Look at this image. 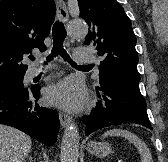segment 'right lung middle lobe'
Listing matches in <instances>:
<instances>
[{
    "label": "right lung middle lobe",
    "instance_id": "obj_1",
    "mask_svg": "<svg viewBox=\"0 0 168 162\" xmlns=\"http://www.w3.org/2000/svg\"><path fill=\"white\" fill-rule=\"evenodd\" d=\"M24 75L25 73L0 76V87L11 83L22 82Z\"/></svg>",
    "mask_w": 168,
    "mask_h": 162
}]
</instances>
